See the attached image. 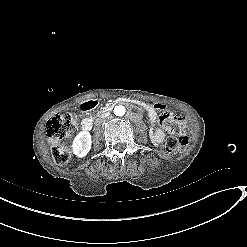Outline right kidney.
Here are the masks:
<instances>
[{"label": "right kidney", "mask_w": 247, "mask_h": 247, "mask_svg": "<svg viewBox=\"0 0 247 247\" xmlns=\"http://www.w3.org/2000/svg\"><path fill=\"white\" fill-rule=\"evenodd\" d=\"M91 144L90 133L88 131H81L73 140V153L80 158L85 157L91 149Z\"/></svg>", "instance_id": "1"}]
</instances>
